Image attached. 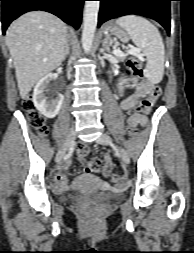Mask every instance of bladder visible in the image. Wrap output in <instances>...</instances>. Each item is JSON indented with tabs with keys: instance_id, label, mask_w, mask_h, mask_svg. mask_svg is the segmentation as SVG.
Wrapping results in <instances>:
<instances>
[{
	"instance_id": "bladder-1",
	"label": "bladder",
	"mask_w": 194,
	"mask_h": 253,
	"mask_svg": "<svg viewBox=\"0 0 194 253\" xmlns=\"http://www.w3.org/2000/svg\"><path fill=\"white\" fill-rule=\"evenodd\" d=\"M120 196L119 193L113 192V191H107L103 192L97 195V197L103 199V200H113ZM65 200H69V198H65Z\"/></svg>"
}]
</instances>
